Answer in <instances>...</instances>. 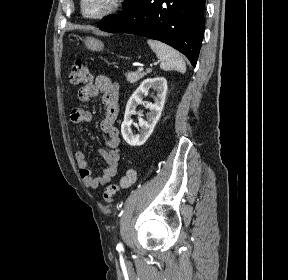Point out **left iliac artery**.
Returning <instances> with one entry per match:
<instances>
[{"mask_svg":"<svg viewBox=\"0 0 288 280\" xmlns=\"http://www.w3.org/2000/svg\"><path fill=\"white\" fill-rule=\"evenodd\" d=\"M116 249H117L118 251L123 250V245H122V243H119V244L117 245Z\"/></svg>","mask_w":288,"mask_h":280,"instance_id":"left-iliac-artery-1","label":"left iliac artery"}]
</instances>
